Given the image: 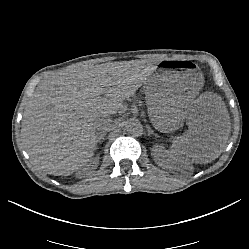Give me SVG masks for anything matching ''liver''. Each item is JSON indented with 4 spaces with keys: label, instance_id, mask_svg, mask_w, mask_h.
<instances>
[{
    "label": "liver",
    "instance_id": "1",
    "mask_svg": "<svg viewBox=\"0 0 249 249\" xmlns=\"http://www.w3.org/2000/svg\"><path fill=\"white\" fill-rule=\"evenodd\" d=\"M152 73L144 67L108 64L69 67L43 80L25 107L21 126L32 164L55 176L84 166L97 148L94 122L116 114ZM146 104L153 127L162 133L186 121L188 130L173 139L170 149L175 161L206 164L221 155L231 124L220 96L209 93L191 103L172 104L157 94L146 96Z\"/></svg>",
    "mask_w": 249,
    "mask_h": 249
}]
</instances>
